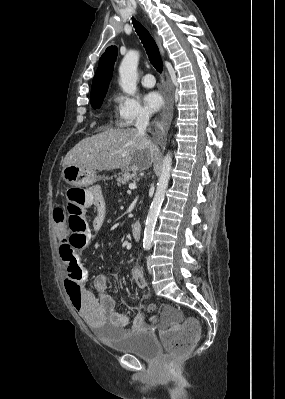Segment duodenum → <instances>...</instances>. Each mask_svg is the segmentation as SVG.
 Here are the masks:
<instances>
[{"mask_svg":"<svg viewBox=\"0 0 285 399\" xmlns=\"http://www.w3.org/2000/svg\"><path fill=\"white\" fill-rule=\"evenodd\" d=\"M131 231H132L133 239L135 241L139 242L142 238V228H141L140 223H138V222L133 223L132 227H131Z\"/></svg>","mask_w":285,"mask_h":399,"instance_id":"1","label":"duodenum"}]
</instances>
